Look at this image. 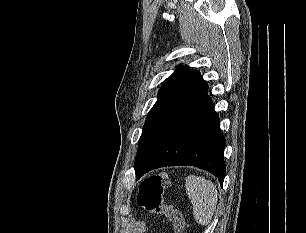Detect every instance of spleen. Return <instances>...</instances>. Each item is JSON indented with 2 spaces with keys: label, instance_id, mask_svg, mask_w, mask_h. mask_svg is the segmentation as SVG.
Returning a JSON list of instances; mask_svg holds the SVG:
<instances>
[{
  "label": "spleen",
  "instance_id": "spleen-1",
  "mask_svg": "<svg viewBox=\"0 0 306 233\" xmlns=\"http://www.w3.org/2000/svg\"><path fill=\"white\" fill-rule=\"evenodd\" d=\"M185 187L193 205L195 221L202 226H207L211 222L217 205L216 185L203 177L189 175Z\"/></svg>",
  "mask_w": 306,
  "mask_h": 233
}]
</instances>
